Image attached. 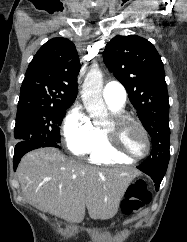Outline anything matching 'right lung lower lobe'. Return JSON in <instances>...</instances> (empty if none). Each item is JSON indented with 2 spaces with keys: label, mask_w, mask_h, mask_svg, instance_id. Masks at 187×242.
<instances>
[{
  "label": "right lung lower lobe",
  "mask_w": 187,
  "mask_h": 242,
  "mask_svg": "<svg viewBox=\"0 0 187 242\" xmlns=\"http://www.w3.org/2000/svg\"><path fill=\"white\" fill-rule=\"evenodd\" d=\"M40 147L61 148L59 144H55V143H43V142L31 141V140L19 141L14 149V157H13L14 171L16 170L18 163L20 162L24 154Z\"/></svg>",
  "instance_id": "obj_1"
}]
</instances>
